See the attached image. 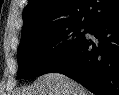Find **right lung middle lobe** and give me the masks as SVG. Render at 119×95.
Here are the masks:
<instances>
[{"label": "right lung middle lobe", "mask_w": 119, "mask_h": 95, "mask_svg": "<svg viewBox=\"0 0 119 95\" xmlns=\"http://www.w3.org/2000/svg\"><path fill=\"white\" fill-rule=\"evenodd\" d=\"M88 28L76 23L48 24L22 36L17 51L18 79L45 74L85 38Z\"/></svg>", "instance_id": "obj_1"}]
</instances>
